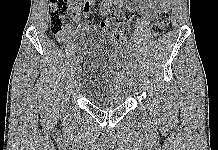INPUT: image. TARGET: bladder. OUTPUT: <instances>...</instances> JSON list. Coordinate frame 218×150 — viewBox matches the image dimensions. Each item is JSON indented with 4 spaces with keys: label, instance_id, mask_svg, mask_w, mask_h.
<instances>
[{
    "label": "bladder",
    "instance_id": "obj_1",
    "mask_svg": "<svg viewBox=\"0 0 218 150\" xmlns=\"http://www.w3.org/2000/svg\"><path fill=\"white\" fill-rule=\"evenodd\" d=\"M120 48L119 42L99 32L84 40L78 82L84 97L96 107L121 106L131 93L134 77Z\"/></svg>",
    "mask_w": 218,
    "mask_h": 150
}]
</instances>
